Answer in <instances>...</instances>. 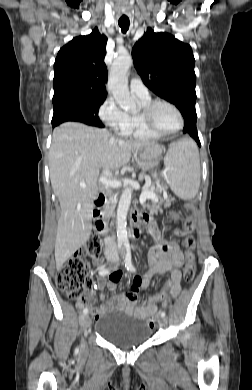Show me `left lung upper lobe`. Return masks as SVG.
<instances>
[{
  "label": "left lung upper lobe",
  "instance_id": "obj_1",
  "mask_svg": "<svg viewBox=\"0 0 252 390\" xmlns=\"http://www.w3.org/2000/svg\"><path fill=\"white\" fill-rule=\"evenodd\" d=\"M132 56L149 89L174 104L183 117L196 116L195 59L190 45L148 28L134 45Z\"/></svg>",
  "mask_w": 252,
  "mask_h": 390
}]
</instances>
